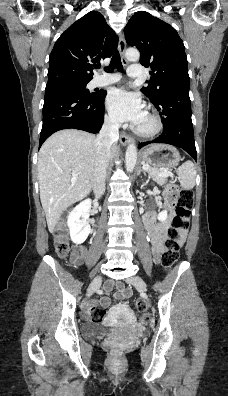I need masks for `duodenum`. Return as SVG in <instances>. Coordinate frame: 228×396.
I'll return each mask as SVG.
<instances>
[{
	"label": "duodenum",
	"instance_id": "duodenum-1",
	"mask_svg": "<svg viewBox=\"0 0 228 396\" xmlns=\"http://www.w3.org/2000/svg\"><path fill=\"white\" fill-rule=\"evenodd\" d=\"M145 225H146V229H147V232L150 235V237H153L156 230L159 229L158 224H156L155 221H153L149 218H145Z\"/></svg>",
	"mask_w": 228,
	"mask_h": 396
}]
</instances>
